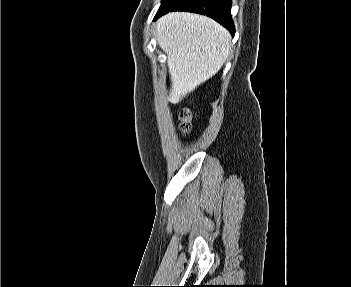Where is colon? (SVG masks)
Returning <instances> with one entry per match:
<instances>
[{
    "label": "colon",
    "instance_id": "1",
    "mask_svg": "<svg viewBox=\"0 0 351 287\" xmlns=\"http://www.w3.org/2000/svg\"><path fill=\"white\" fill-rule=\"evenodd\" d=\"M180 118L182 121L183 131L187 132L190 130L191 121L193 119V114L189 109H183L180 113Z\"/></svg>",
    "mask_w": 351,
    "mask_h": 287
}]
</instances>
